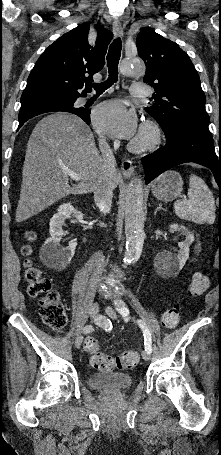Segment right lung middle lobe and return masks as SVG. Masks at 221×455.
<instances>
[{"label":"right lung middle lobe","mask_w":221,"mask_h":455,"mask_svg":"<svg viewBox=\"0 0 221 455\" xmlns=\"http://www.w3.org/2000/svg\"><path fill=\"white\" fill-rule=\"evenodd\" d=\"M77 98H73V99H68V100H64V101H61L53 106H63V107H67V108H72L74 109L75 111L79 112L81 110H83V108H74L73 107V104L74 102L76 101ZM21 112V111H20Z\"/></svg>","instance_id":"right-lung-middle-lobe-1"}]
</instances>
